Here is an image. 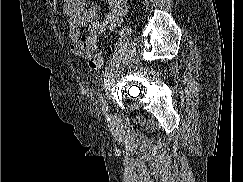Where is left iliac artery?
Returning a JSON list of instances; mask_svg holds the SVG:
<instances>
[{"mask_svg":"<svg viewBox=\"0 0 243 182\" xmlns=\"http://www.w3.org/2000/svg\"><path fill=\"white\" fill-rule=\"evenodd\" d=\"M102 110H103V113H104L106 119H107L108 121H110L109 109H108V105H107V103H106L105 98H102Z\"/></svg>","mask_w":243,"mask_h":182,"instance_id":"left-iliac-artery-1","label":"left iliac artery"}]
</instances>
